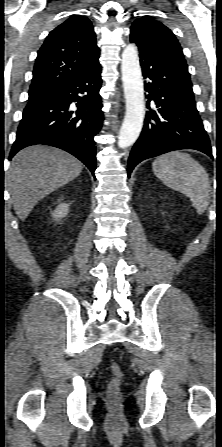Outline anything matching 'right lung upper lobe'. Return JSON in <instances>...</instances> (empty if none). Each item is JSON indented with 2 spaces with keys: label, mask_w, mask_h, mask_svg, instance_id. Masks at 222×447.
I'll return each instance as SVG.
<instances>
[{
  "label": "right lung upper lobe",
  "mask_w": 222,
  "mask_h": 447,
  "mask_svg": "<svg viewBox=\"0 0 222 447\" xmlns=\"http://www.w3.org/2000/svg\"><path fill=\"white\" fill-rule=\"evenodd\" d=\"M99 48L88 18L74 15L52 30L38 51L29 100L42 101L98 63Z\"/></svg>",
  "instance_id": "right-lung-upper-lobe-1"
}]
</instances>
